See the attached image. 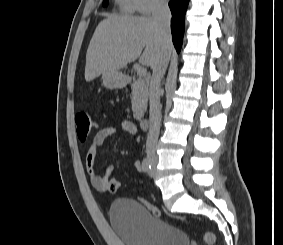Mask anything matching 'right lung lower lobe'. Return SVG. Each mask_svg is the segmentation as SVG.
<instances>
[{"label": "right lung lower lobe", "mask_w": 283, "mask_h": 245, "mask_svg": "<svg viewBox=\"0 0 283 245\" xmlns=\"http://www.w3.org/2000/svg\"><path fill=\"white\" fill-rule=\"evenodd\" d=\"M188 2L189 0H171L169 2V7L172 13V39L177 52L180 51L182 46L185 24V12L188 6Z\"/></svg>", "instance_id": "1"}]
</instances>
